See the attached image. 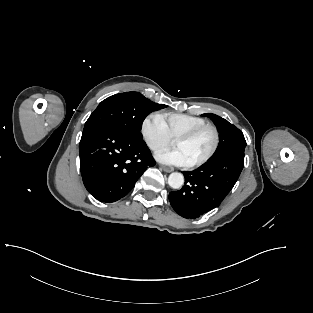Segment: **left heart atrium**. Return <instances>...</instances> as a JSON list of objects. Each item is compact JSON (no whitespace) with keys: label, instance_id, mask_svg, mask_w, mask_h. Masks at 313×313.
<instances>
[{"label":"left heart atrium","instance_id":"obj_1","mask_svg":"<svg viewBox=\"0 0 313 313\" xmlns=\"http://www.w3.org/2000/svg\"><path fill=\"white\" fill-rule=\"evenodd\" d=\"M161 163L173 166H189L191 163L186 154L179 148L165 150L156 155Z\"/></svg>","mask_w":313,"mask_h":313}]
</instances>
